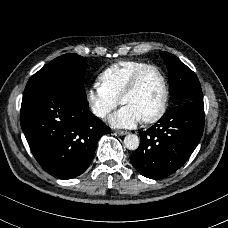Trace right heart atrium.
<instances>
[{"instance_id":"right-heart-atrium-1","label":"right heart atrium","mask_w":228,"mask_h":228,"mask_svg":"<svg viewBox=\"0 0 228 228\" xmlns=\"http://www.w3.org/2000/svg\"><path fill=\"white\" fill-rule=\"evenodd\" d=\"M87 103L95 116L104 119L119 105L120 101L95 81L87 89Z\"/></svg>"}]
</instances>
